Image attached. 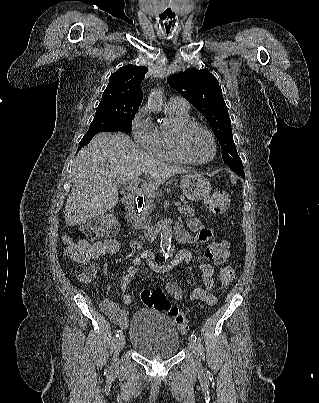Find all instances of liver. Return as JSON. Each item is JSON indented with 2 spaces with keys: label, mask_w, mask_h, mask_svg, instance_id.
<instances>
[{
  "label": "liver",
  "mask_w": 319,
  "mask_h": 403,
  "mask_svg": "<svg viewBox=\"0 0 319 403\" xmlns=\"http://www.w3.org/2000/svg\"><path fill=\"white\" fill-rule=\"evenodd\" d=\"M188 172L153 158L124 133H99L74 160L73 185L65 205L66 224H85L113 208L119 201L122 182L144 176L143 190L153 192L171 176Z\"/></svg>",
  "instance_id": "liver-1"
}]
</instances>
